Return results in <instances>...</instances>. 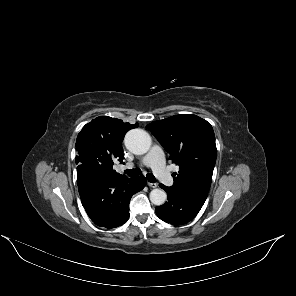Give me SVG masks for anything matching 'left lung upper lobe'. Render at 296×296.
<instances>
[{
  "instance_id": "obj_1",
  "label": "left lung upper lobe",
  "mask_w": 296,
  "mask_h": 296,
  "mask_svg": "<svg viewBox=\"0 0 296 296\" xmlns=\"http://www.w3.org/2000/svg\"><path fill=\"white\" fill-rule=\"evenodd\" d=\"M147 128L180 168L171 188L208 194L217 156L212 126L196 115L183 114L154 121Z\"/></svg>"
}]
</instances>
